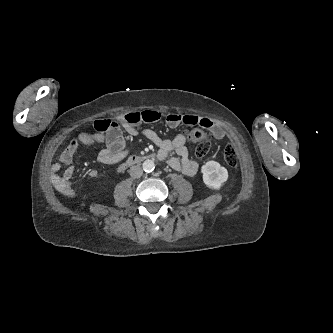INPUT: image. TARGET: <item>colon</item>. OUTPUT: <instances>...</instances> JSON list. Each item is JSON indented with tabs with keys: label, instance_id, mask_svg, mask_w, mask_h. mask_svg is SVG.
<instances>
[{
	"label": "colon",
	"instance_id": "5ec220e1",
	"mask_svg": "<svg viewBox=\"0 0 333 333\" xmlns=\"http://www.w3.org/2000/svg\"><path fill=\"white\" fill-rule=\"evenodd\" d=\"M119 127V121L113 119H100L94 122V129L99 133H108L116 131ZM186 138L193 143H197L195 155L198 158L205 157L210 150V135L202 129H194L190 131ZM223 159L225 163L235 168L238 165V156L235 148L229 144L225 147L223 152Z\"/></svg>",
	"mask_w": 333,
	"mask_h": 333
}]
</instances>
